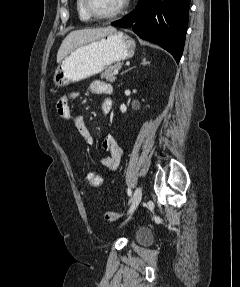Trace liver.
<instances>
[{
	"label": "liver",
	"instance_id": "1",
	"mask_svg": "<svg viewBox=\"0 0 240 287\" xmlns=\"http://www.w3.org/2000/svg\"><path fill=\"white\" fill-rule=\"evenodd\" d=\"M115 31L116 29L114 27L108 26L80 29L70 32L62 41L59 47L57 53V63H60L71 51H73L77 47L85 43L100 39Z\"/></svg>",
	"mask_w": 240,
	"mask_h": 287
}]
</instances>
